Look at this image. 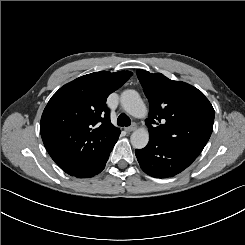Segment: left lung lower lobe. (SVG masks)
<instances>
[{
  "label": "left lung lower lobe",
  "instance_id": "1",
  "mask_svg": "<svg viewBox=\"0 0 245 245\" xmlns=\"http://www.w3.org/2000/svg\"><path fill=\"white\" fill-rule=\"evenodd\" d=\"M135 154L141 169L157 178L173 177L189 167L196 159L177 147L151 138L147 146L137 149Z\"/></svg>",
  "mask_w": 245,
  "mask_h": 245
}]
</instances>
